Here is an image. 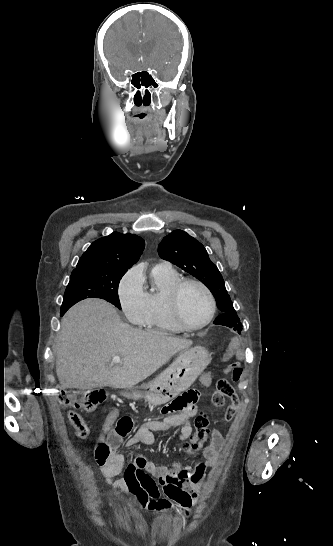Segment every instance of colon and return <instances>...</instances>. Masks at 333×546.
I'll return each instance as SVG.
<instances>
[{"label":"colon","instance_id":"obj_1","mask_svg":"<svg viewBox=\"0 0 333 546\" xmlns=\"http://www.w3.org/2000/svg\"><path fill=\"white\" fill-rule=\"evenodd\" d=\"M230 344L235 345L236 348L238 347L237 343L235 342H230L228 345ZM242 365V360L236 358L234 359L232 364L226 368V373L229 376H232L231 382L235 386L240 385L242 382L244 376V368L242 367ZM105 397L106 396L103 391L88 392L79 398L71 397L63 393L62 395H60V403L63 407L93 411L104 402ZM211 400L212 404L219 408L225 405L226 400H229L231 403L235 404L238 402L235 389L225 378H221L217 381L216 390L213 392ZM195 402L196 394L193 391H188L180 397L176 398L170 404V407L182 408L191 406L192 408H194ZM67 417L69 423L75 429L77 435L83 436L88 433L87 425L79 413L75 411H70ZM194 426L195 432L191 438L189 445L187 446V451L190 453H196L200 451L203 448L204 444L209 440V420L204 412H200L196 416ZM114 430L119 435H126L130 430V426L119 420ZM112 445L113 441H108L106 439L98 440L95 447V458L97 460H103L107 458L111 453Z\"/></svg>","mask_w":333,"mask_h":546}]
</instances>
